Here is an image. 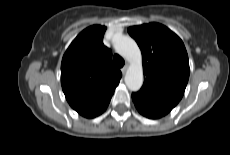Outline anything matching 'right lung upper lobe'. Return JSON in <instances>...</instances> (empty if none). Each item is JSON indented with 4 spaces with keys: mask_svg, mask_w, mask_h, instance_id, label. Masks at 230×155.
I'll return each mask as SVG.
<instances>
[{
    "mask_svg": "<svg viewBox=\"0 0 230 155\" xmlns=\"http://www.w3.org/2000/svg\"><path fill=\"white\" fill-rule=\"evenodd\" d=\"M106 27L83 30L66 50L61 63V84L70 106L86 118L102 114L119 84L121 71L103 44Z\"/></svg>",
    "mask_w": 230,
    "mask_h": 155,
    "instance_id": "right-lung-upper-lobe-1",
    "label": "right lung upper lobe"
}]
</instances>
